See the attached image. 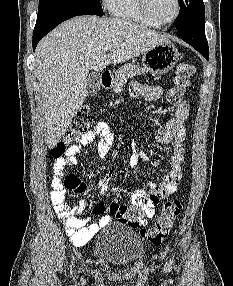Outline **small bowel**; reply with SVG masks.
<instances>
[{
    "label": "small bowel",
    "instance_id": "c3829d8e",
    "mask_svg": "<svg viewBox=\"0 0 233 286\" xmlns=\"http://www.w3.org/2000/svg\"><path fill=\"white\" fill-rule=\"evenodd\" d=\"M132 95L136 98H143L147 101L158 100L163 93L161 86H143L134 83L131 87ZM189 115V106L186 101L180 103L174 115L168 118L166 126L156 133V140L162 144H172L170 156V170L160 183L148 182L147 189L123 190L115 187L114 192L125 191L131 197L130 205H119L112 203L105 206L97 203L93 207V213L101 217L97 222L90 223V218H80L88 203L81 201L74 205H69L65 201L66 189L61 180L63 170L66 166H74L78 163L77 155L82 148L95 139L99 138L97 151L101 157L110 154L112 147L115 145V137L110 132L109 126L104 122H99L89 131L82 134L76 143L70 148L66 157L58 160L54 166V176L52 178V191L50 199L58 218L63 223L67 235L74 245L82 246L86 244L102 227L108 225L113 219H117L129 225L128 212L132 206H138L142 211V222L154 216V207L160 201L173 194L178 187L182 177V163L185 155V137L186 129L184 123ZM132 153L130 155V166L135 167L140 159H148L147 155L142 152L135 142H130ZM158 165L157 162H152ZM97 187L102 193L108 191L106 179L98 180ZM83 193V192H80ZM133 226V225H131ZM135 227V226H133Z\"/></svg>",
    "mask_w": 233,
    "mask_h": 286
}]
</instances>
